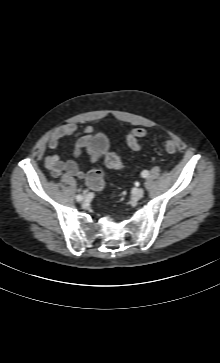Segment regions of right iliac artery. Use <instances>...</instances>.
Masks as SVG:
<instances>
[{"label":"right iliac artery","instance_id":"82829eb1","mask_svg":"<svg viewBox=\"0 0 220 363\" xmlns=\"http://www.w3.org/2000/svg\"><path fill=\"white\" fill-rule=\"evenodd\" d=\"M76 199H77V201H82L83 200V196L82 195H77L76 196Z\"/></svg>","mask_w":220,"mask_h":363}]
</instances>
